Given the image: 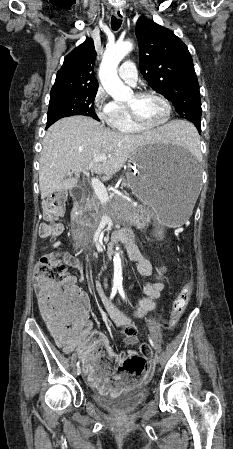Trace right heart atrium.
<instances>
[{"label": "right heart atrium", "instance_id": "right-heart-atrium-1", "mask_svg": "<svg viewBox=\"0 0 233 449\" xmlns=\"http://www.w3.org/2000/svg\"><path fill=\"white\" fill-rule=\"evenodd\" d=\"M95 112L101 121H110L115 112V102L109 100L108 94L102 86H99L94 98Z\"/></svg>", "mask_w": 233, "mask_h": 449}]
</instances>
